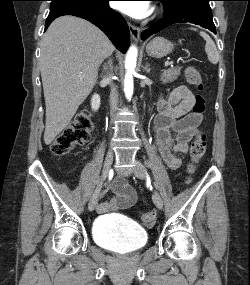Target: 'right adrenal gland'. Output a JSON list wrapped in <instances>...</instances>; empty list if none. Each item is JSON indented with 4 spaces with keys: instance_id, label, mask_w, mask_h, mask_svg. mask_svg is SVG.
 Returning <instances> with one entry per match:
<instances>
[{
    "instance_id": "obj_1",
    "label": "right adrenal gland",
    "mask_w": 250,
    "mask_h": 285,
    "mask_svg": "<svg viewBox=\"0 0 250 285\" xmlns=\"http://www.w3.org/2000/svg\"><path fill=\"white\" fill-rule=\"evenodd\" d=\"M109 66H110V67L112 66V62H111V60H109Z\"/></svg>"
}]
</instances>
